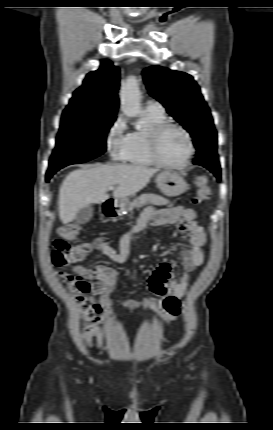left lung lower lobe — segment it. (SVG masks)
Returning a JSON list of instances; mask_svg holds the SVG:
<instances>
[{"label": "left lung lower lobe", "instance_id": "obj_1", "mask_svg": "<svg viewBox=\"0 0 273 430\" xmlns=\"http://www.w3.org/2000/svg\"><path fill=\"white\" fill-rule=\"evenodd\" d=\"M194 164L204 166L209 169L218 180L221 179V169L218 161V155L214 153H203L201 156L193 160Z\"/></svg>", "mask_w": 273, "mask_h": 430}]
</instances>
